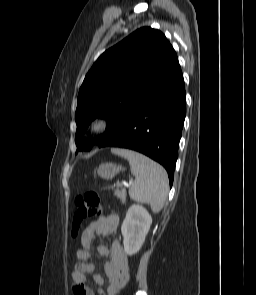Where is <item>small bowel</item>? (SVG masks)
I'll return each instance as SVG.
<instances>
[{
	"label": "small bowel",
	"instance_id": "1",
	"mask_svg": "<svg viewBox=\"0 0 256 295\" xmlns=\"http://www.w3.org/2000/svg\"><path fill=\"white\" fill-rule=\"evenodd\" d=\"M119 220L118 214L111 213L91 222L83 231L82 248L76 251L78 262L70 275L74 295H95L87 274H90L92 282L99 286L98 295H117L127 282L129 278L128 258L120 242H114L110 249L102 245L97 248L100 255L109 257V260L104 263L105 276L95 272L96 266L91 261L94 240L99 236L115 232L119 226ZM104 285L106 289L103 288Z\"/></svg>",
	"mask_w": 256,
	"mask_h": 295
}]
</instances>
